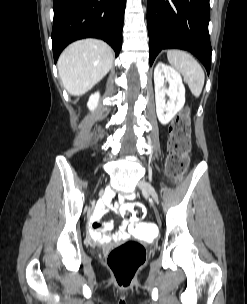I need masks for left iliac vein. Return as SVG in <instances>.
<instances>
[{"mask_svg": "<svg viewBox=\"0 0 247 304\" xmlns=\"http://www.w3.org/2000/svg\"><path fill=\"white\" fill-rule=\"evenodd\" d=\"M138 185H139L140 189L142 191L148 193L154 199V201H156V202L158 201L157 193H156L154 187L150 183H148L144 180H141L138 183Z\"/></svg>", "mask_w": 247, "mask_h": 304, "instance_id": "4c4485c4", "label": "left iliac vein"}]
</instances>
